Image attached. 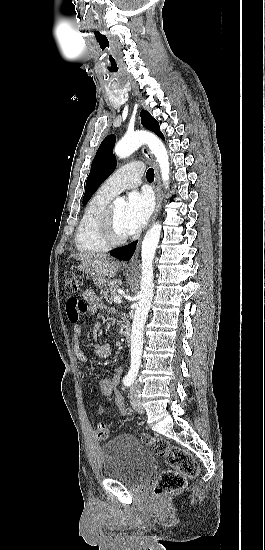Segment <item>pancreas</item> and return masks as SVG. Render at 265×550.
<instances>
[{
    "label": "pancreas",
    "mask_w": 265,
    "mask_h": 550,
    "mask_svg": "<svg viewBox=\"0 0 265 550\" xmlns=\"http://www.w3.org/2000/svg\"><path fill=\"white\" fill-rule=\"evenodd\" d=\"M121 281L112 280L103 289V296L106 300L112 301L115 296H118V289L121 286Z\"/></svg>",
    "instance_id": "cf45deb5"
}]
</instances>
